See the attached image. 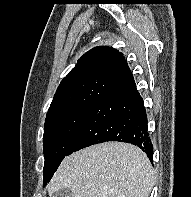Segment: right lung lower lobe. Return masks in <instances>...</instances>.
<instances>
[{
    "instance_id": "98d812e1",
    "label": "right lung lower lobe",
    "mask_w": 191,
    "mask_h": 197,
    "mask_svg": "<svg viewBox=\"0 0 191 197\" xmlns=\"http://www.w3.org/2000/svg\"><path fill=\"white\" fill-rule=\"evenodd\" d=\"M147 123L143 99L131 79L111 89L94 105L67 155L93 144L120 141L138 146L152 161Z\"/></svg>"
}]
</instances>
